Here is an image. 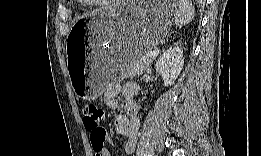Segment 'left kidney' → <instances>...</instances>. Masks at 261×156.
I'll return each mask as SVG.
<instances>
[{"mask_svg": "<svg viewBox=\"0 0 261 156\" xmlns=\"http://www.w3.org/2000/svg\"><path fill=\"white\" fill-rule=\"evenodd\" d=\"M183 65V50L179 46H173L161 55L156 62L155 69L162 76L165 87L174 84L183 69Z\"/></svg>", "mask_w": 261, "mask_h": 156, "instance_id": "1", "label": "left kidney"}]
</instances>
